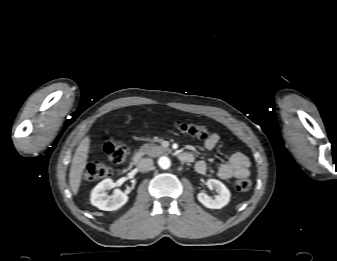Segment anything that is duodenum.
<instances>
[{"instance_id": "duodenum-1", "label": "duodenum", "mask_w": 337, "mask_h": 261, "mask_svg": "<svg viewBox=\"0 0 337 261\" xmlns=\"http://www.w3.org/2000/svg\"><path fill=\"white\" fill-rule=\"evenodd\" d=\"M143 159V155L139 152L135 153L132 162L134 165H138ZM179 159L183 162H190L192 160V156L187 152H182L179 154Z\"/></svg>"}]
</instances>
